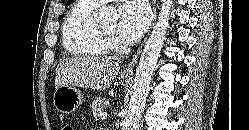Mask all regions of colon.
Instances as JSON below:
<instances>
[{
	"label": "colon",
	"mask_w": 249,
	"mask_h": 130,
	"mask_svg": "<svg viewBox=\"0 0 249 130\" xmlns=\"http://www.w3.org/2000/svg\"><path fill=\"white\" fill-rule=\"evenodd\" d=\"M61 130H75V128L72 125L66 124Z\"/></svg>",
	"instance_id": "5ec220e1"
}]
</instances>
